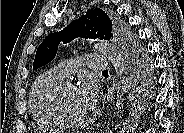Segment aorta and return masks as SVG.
Instances as JSON below:
<instances>
[{
    "label": "aorta",
    "mask_w": 184,
    "mask_h": 133,
    "mask_svg": "<svg viewBox=\"0 0 184 133\" xmlns=\"http://www.w3.org/2000/svg\"><path fill=\"white\" fill-rule=\"evenodd\" d=\"M95 48L107 57V59L113 65V68L117 76L122 78V75L125 72V67L123 64L121 54L118 52V50L114 46L106 42H97L95 44Z\"/></svg>",
    "instance_id": "obj_1"
}]
</instances>
